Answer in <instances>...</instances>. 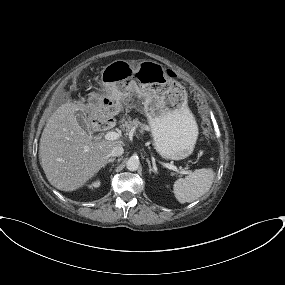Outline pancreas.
Masks as SVG:
<instances>
[{
    "instance_id": "obj_1",
    "label": "pancreas",
    "mask_w": 285,
    "mask_h": 285,
    "mask_svg": "<svg viewBox=\"0 0 285 285\" xmlns=\"http://www.w3.org/2000/svg\"><path fill=\"white\" fill-rule=\"evenodd\" d=\"M121 128L126 133L133 132L136 129H140L141 131L149 130L146 124L141 123L138 119L132 120L131 118L123 119Z\"/></svg>"
}]
</instances>
